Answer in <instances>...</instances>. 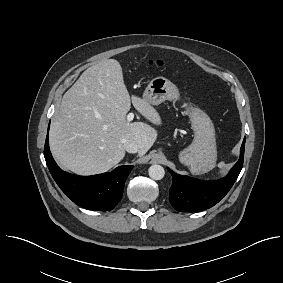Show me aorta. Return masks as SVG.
<instances>
[{"mask_svg":"<svg viewBox=\"0 0 283 283\" xmlns=\"http://www.w3.org/2000/svg\"><path fill=\"white\" fill-rule=\"evenodd\" d=\"M149 176L153 180H161L165 175V170L161 165H152L150 166L149 170Z\"/></svg>","mask_w":283,"mask_h":283,"instance_id":"762f6f07","label":"aorta"}]
</instances>
